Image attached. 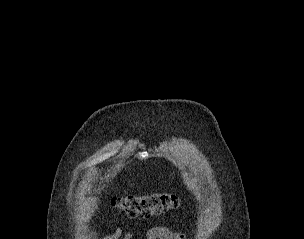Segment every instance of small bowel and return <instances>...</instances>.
<instances>
[{
  "mask_svg": "<svg viewBox=\"0 0 304 239\" xmlns=\"http://www.w3.org/2000/svg\"><path fill=\"white\" fill-rule=\"evenodd\" d=\"M134 235L131 232L123 234L120 228H115L114 231L101 239H133ZM146 239H186L185 233L172 230L166 227H153L146 232Z\"/></svg>",
  "mask_w": 304,
  "mask_h": 239,
  "instance_id": "1",
  "label": "small bowel"
}]
</instances>
